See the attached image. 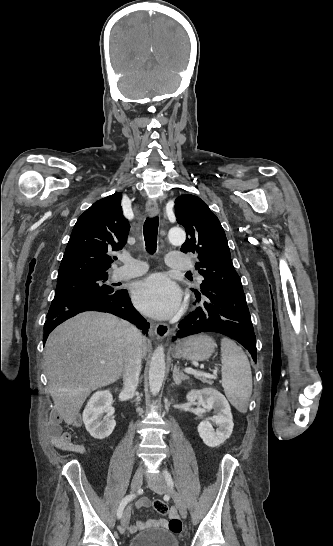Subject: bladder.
I'll return each instance as SVG.
<instances>
[{
    "instance_id": "1",
    "label": "bladder",
    "mask_w": 333,
    "mask_h": 546,
    "mask_svg": "<svg viewBox=\"0 0 333 546\" xmlns=\"http://www.w3.org/2000/svg\"><path fill=\"white\" fill-rule=\"evenodd\" d=\"M129 546H178V541L168 530L152 529L135 535Z\"/></svg>"
}]
</instances>
